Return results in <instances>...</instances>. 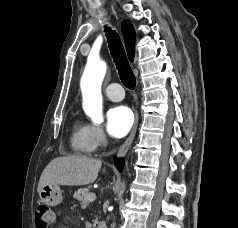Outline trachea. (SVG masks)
<instances>
[{
	"mask_svg": "<svg viewBox=\"0 0 238 228\" xmlns=\"http://www.w3.org/2000/svg\"><path fill=\"white\" fill-rule=\"evenodd\" d=\"M105 32L111 56L115 62L122 83L126 88L134 90L136 79L128 62L121 39L119 35L115 31L110 30V28H106Z\"/></svg>",
	"mask_w": 238,
	"mask_h": 228,
	"instance_id": "3493384b",
	"label": "trachea"
}]
</instances>
